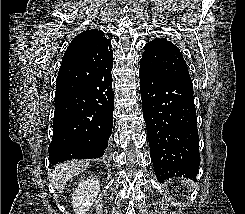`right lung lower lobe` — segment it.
<instances>
[{
  "label": "right lung lower lobe",
  "instance_id": "98d812e1",
  "mask_svg": "<svg viewBox=\"0 0 245 214\" xmlns=\"http://www.w3.org/2000/svg\"><path fill=\"white\" fill-rule=\"evenodd\" d=\"M112 67L113 61L99 66L82 88L72 86V70L59 71L50 164L103 156L113 127Z\"/></svg>",
  "mask_w": 245,
  "mask_h": 214
}]
</instances>
